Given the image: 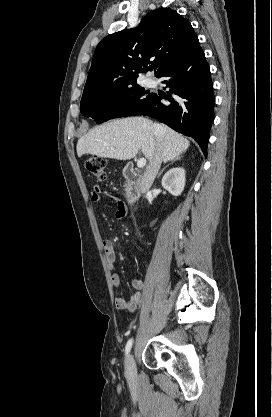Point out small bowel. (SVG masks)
<instances>
[{
	"mask_svg": "<svg viewBox=\"0 0 272 417\" xmlns=\"http://www.w3.org/2000/svg\"><path fill=\"white\" fill-rule=\"evenodd\" d=\"M102 195L112 196L110 192L101 189L99 185L94 186L93 191L91 193L92 202L94 203L99 202ZM117 202H118V209H117L116 216L118 218H123L126 215V207L123 202L119 200H117ZM103 248H104V252L106 255L107 263L109 267L113 270L116 265V252H115V248H114L112 241H110L109 239L104 240ZM111 278H112V284L115 290L117 291L116 297H115V303L119 309H127L132 303L134 304L140 303L141 297H142V290L144 288V282L141 279L136 278L131 281V286L135 292L129 300H126L124 293L119 290L120 278L118 274L115 272H112Z\"/></svg>",
	"mask_w": 272,
	"mask_h": 417,
	"instance_id": "obj_1",
	"label": "small bowel"
}]
</instances>
